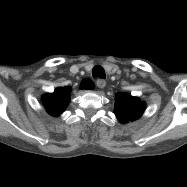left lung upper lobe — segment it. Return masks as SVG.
I'll list each match as a JSON object with an SVG mask.
<instances>
[{
  "instance_id": "obj_1",
  "label": "left lung upper lobe",
  "mask_w": 187,
  "mask_h": 187,
  "mask_svg": "<svg viewBox=\"0 0 187 187\" xmlns=\"http://www.w3.org/2000/svg\"><path fill=\"white\" fill-rule=\"evenodd\" d=\"M144 111V104L136 97L124 93L118 94L115 103V114L121 122H128L141 116Z\"/></svg>"
}]
</instances>
